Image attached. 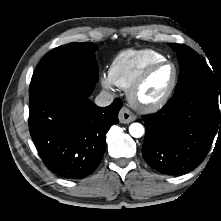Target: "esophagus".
<instances>
[{"instance_id":"obj_1","label":"esophagus","mask_w":221,"mask_h":221,"mask_svg":"<svg viewBox=\"0 0 221 221\" xmlns=\"http://www.w3.org/2000/svg\"><path fill=\"white\" fill-rule=\"evenodd\" d=\"M136 120V115H134L128 108L123 107L119 112V121L123 124H128Z\"/></svg>"}]
</instances>
